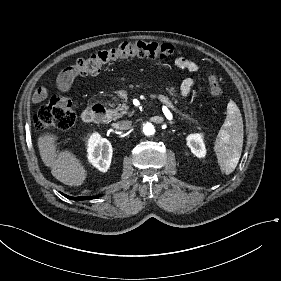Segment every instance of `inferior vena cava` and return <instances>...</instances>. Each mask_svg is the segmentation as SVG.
Here are the masks:
<instances>
[{"label": "inferior vena cava", "instance_id": "602c4592", "mask_svg": "<svg viewBox=\"0 0 281 281\" xmlns=\"http://www.w3.org/2000/svg\"><path fill=\"white\" fill-rule=\"evenodd\" d=\"M118 125V130H127L131 127V122L130 121H120L117 123Z\"/></svg>", "mask_w": 281, "mask_h": 281}]
</instances>
